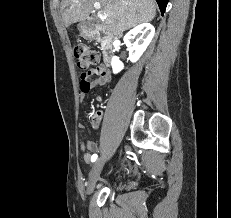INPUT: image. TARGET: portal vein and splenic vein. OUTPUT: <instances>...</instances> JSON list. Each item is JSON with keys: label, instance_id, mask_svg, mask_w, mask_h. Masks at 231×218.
Listing matches in <instances>:
<instances>
[{"label": "portal vein and splenic vein", "instance_id": "18ae733b", "mask_svg": "<svg viewBox=\"0 0 231 218\" xmlns=\"http://www.w3.org/2000/svg\"><path fill=\"white\" fill-rule=\"evenodd\" d=\"M94 7H95L96 9H100V8H101V5H100L99 2H95V3H94ZM98 17H99L101 20H104V19H106L107 16H106L104 13L98 12Z\"/></svg>", "mask_w": 231, "mask_h": 218}]
</instances>
